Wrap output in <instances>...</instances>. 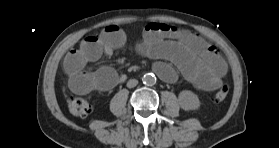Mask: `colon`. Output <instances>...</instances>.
<instances>
[{
	"instance_id": "1",
	"label": "colon",
	"mask_w": 279,
	"mask_h": 148,
	"mask_svg": "<svg viewBox=\"0 0 279 148\" xmlns=\"http://www.w3.org/2000/svg\"><path fill=\"white\" fill-rule=\"evenodd\" d=\"M227 95H228V87L226 85H223L222 87H220L214 92L212 99L215 102H221L227 97ZM68 109L71 114L77 117H85L91 111L89 102L83 97L76 96V95L69 96Z\"/></svg>"
}]
</instances>
